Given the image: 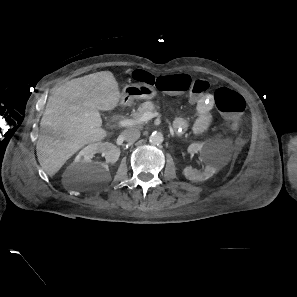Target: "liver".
I'll list each match as a JSON object with an SVG mask.
<instances>
[{
	"label": "liver",
	"mask_w": 297,
	"mask_h": 297,
	"mask_svg": "<svg viewBox=\"0 0 297 297\" xmlns=\"http://www.w3.org/2000/svg\"><path fill=\"white\" fill-rule=\"evenodd\" d=\"M121 98L110 71H101L67 81L48 98L40 121L36 154L41 170L53 176L86 144L101 141L99 111L113 110Z\"/></svg>",
	"instance_id": "liver-1"
}]
</instances>
